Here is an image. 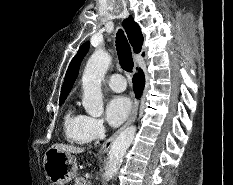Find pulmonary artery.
<instances>
[{
	"instance_id": "obj_1",
	"label": "pulmonary artery",
	"mask_w": 233,
	"mask_h": 185,
	"mask_svg": "<svg viewBox=\"0 0 233 185\" xmlns=\"http://www.w3.org/2000/svg\"><path fill=\"white\" fill-rule=\"evenodd\" d=\"M107 84L109 87L116 91L121 92L124 91L126 88V82L122 75L120 74H113L107 79Z\"/></svg>"
}]
</instances>
